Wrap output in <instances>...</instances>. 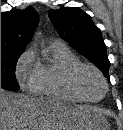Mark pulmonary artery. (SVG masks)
Listing matches in <instances>:
<instances>
[{
    "label": "pulmonary artery",
    "mask_w": 123,
    "mask_h": 130,
    "mask_svg": "<svg viewBox=\"0 0 123 130\" xmlns=\"http://www.w3.org/2000/svg\"><path fill=\"white\" fill-rule=\"evenodd\" d=\"M53 43H63V42L60 40H55Z\"/></svg>",
    "instance_id": "obj_1"
}]
</instances>
